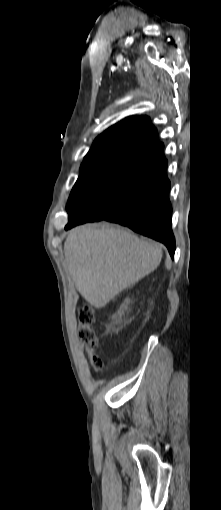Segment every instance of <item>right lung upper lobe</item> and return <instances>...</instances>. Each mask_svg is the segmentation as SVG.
<instances>
[{
	"label": "right lung upper lobe",
	"instance_id": "right-lung-upper-lobe-1",
	"mask_svg": "<svg viewBox=\"0 0 221 510\" xmlns=\"http://www.w3.org/2000/svg\"><path fill=\"white\" fill-rule=\"evenodd\" d=\"M163 149L157 140V131L147 116H132L110 127L98 136L85 158L125 151L139 150L151 153Z\"/></svg>",
	"mask_w": 221,
	"mask_h": 510
}]
</instances>
